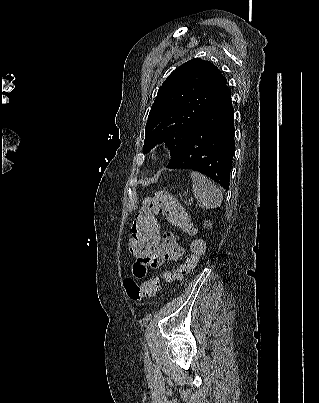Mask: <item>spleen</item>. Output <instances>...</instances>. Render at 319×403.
<instances>
[{"label": "spleen", "mask_w": 319, "mask_h": 403, "mask_svg": "<svg viewBox=\"0 0 319 403\" xmlns=\"http://www.w3.org/2000/svg\"><path fill=\"white\" fill-rule=\"evenodd\" d=\"M193 195L201 208H218L222 204L223 195L211 180L198 172H191Z\"/></svg>", "instance_id": "3e777b00"}]
</instances>
